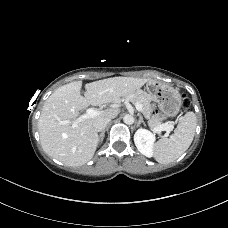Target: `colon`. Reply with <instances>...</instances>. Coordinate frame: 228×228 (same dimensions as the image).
<instances>
[{
  "label": "colon",
  "instance_id": "colon-1",
  "mask_svg": "<svg viewBox=\"0 0 228 228\" xmlns=\"http://www.w3.org/2000/svg\"><path fill=\"white\" fill-rule=\"evenodd\" d=\"M190 105V100L186 95H183V99H182V107L184 109H187Z\"/></svg>",
  "mask_w": 228,
  "mask_h": 228
}]
</instances>
